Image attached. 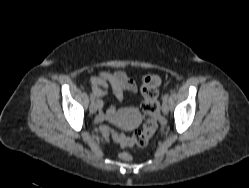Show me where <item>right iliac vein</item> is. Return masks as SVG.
Instances as JSON below:
<instances>
[{"label":"right iliac vein","instance_id":"right-iliac-vein-1","mask_svg":"<svg viewBox=\"0 0 249 188\" xmlns=\"http://www.w3.org/2000/svg\"><path fill=\"white\" fill-rule=\"evenodd\" d=\"M89 111L91 114H94L97 111V102L96 100H91Z\"/></svg>","mask_w":249,"mask_h":188}]
</instances>
